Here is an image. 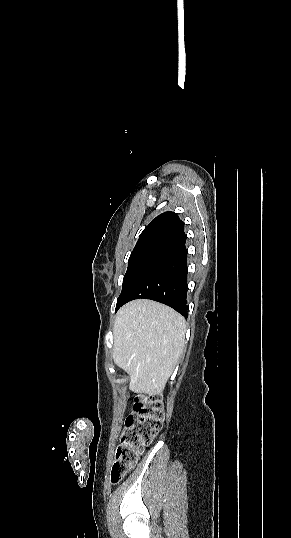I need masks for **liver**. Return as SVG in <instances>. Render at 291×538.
Here are the masks:
<instances>
[{
  "label": "liver",
  "mask_w": 291,
  "mask_h": 538,
  "mask_svg": "<svg viewBox=\"0 0 291 538\" xmlns=\"http://www.w3.org/2000/svg\"><path fill=\"white\" fill-rule=\"evenodd\" d=\"M114 362L135 393H161L183 352L186 323L172 308L147 299L122 306L114 324Z\"/></svg>",
  "instance_id": "obj_1"
}]
</instances>
